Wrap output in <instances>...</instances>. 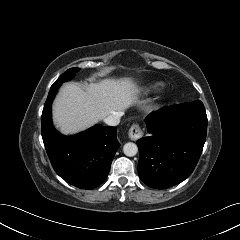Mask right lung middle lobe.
Returning <instances> with one entry per match:
<instances>
[{
    "label": "right lung middle lobe",
    "mask_w": 240,
    "mask_h": 240,
    "mask_svg": "<svg viewBox=\"0 0 240 240\" xmlns=\"http://www.w3.org/2000/svg\"><path fill=\"white\" fill-rule=\"evenodd\" d=\"M76 71H79V68H70L68 69L64 74L61 75L59 79L56 80V82L51 86V91L57 90L63 82L70 80L76 73Z\"/></svg>",
    "instance_id": "right-lung-middle-lobe-1"
}]
</instances>
